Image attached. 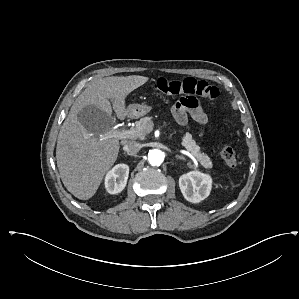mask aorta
Masks as SVG:
<instances>
[{
	"label": "aorta",
	"instance_id": "762f6f07",
	"mask_svg": "<svg viewBox=\"0 0 299 299\" xmlns=\"http://www.w3.org/2000/svg\"><path fill=\"white\" fill-rule=\"evenodd\" d=\"M164 160V154L161 150L152 149L148 153V162L152 166H160Z\"/></svg>",
	"mask_w": 299,
	"mask_h": 299
}]
</instances>
